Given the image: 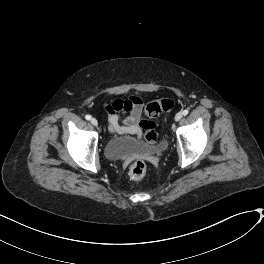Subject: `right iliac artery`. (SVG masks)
Returning a JSON list of instances; mask_svg holds the SVG:
<instances>
[{
  "label": "right iliac artery",
  "instance_id": "82829eb1",
  "mask_svg": "<svg viewBox=\"0 0 264 264\" xmlns=\"http://www.w3.org/2000/svg\"><path fill=\"white\" fill-rule=\"evenodd\" d=\"M85 119H86V120H90V119H91V116H90V115H86V116H85Z\"/></svg>",
  "mask_w": 264,
  "mask_h": 264
}]
</instances>
